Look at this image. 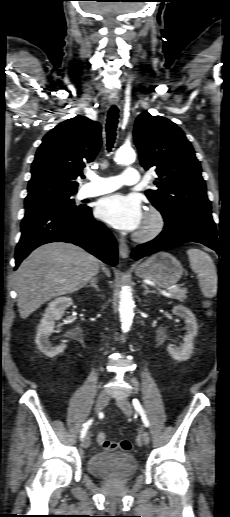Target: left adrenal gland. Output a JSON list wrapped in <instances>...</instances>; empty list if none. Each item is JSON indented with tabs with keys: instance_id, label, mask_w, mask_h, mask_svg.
Here are the masks:
<instances>
[{
	"instance_id": "a2214340",
	"label": "left adrenal gland",
	"mask_w": 230,
	"mask_h": 517,
	"mask_svg": "<svg viewBox=\"0 0 230 517\" xmlns=\"http://www.w3.org/2000/svg\"><path fill=\"white\" fill-rule=\"evenodd\" d=\"M142 287H144V289H145L144 292H143L144 296L148 295L149 293H155L154 291H150L148 286L145 285V284H142Z\"/></svg>"
}]
</instances>
